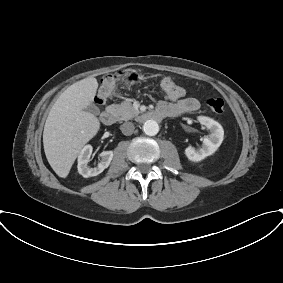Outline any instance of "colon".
<instances>
[{
  "instance_id": "obj_1",
  "label": "colon",
  "mask_w": 283,
  "mask_h": 283,
  "mask_svg": "<svg viewBox=\"0 0 283 283\" xmlns=\"http://www.w3.org/2000/svg\"><path fill=\"white\" fill-rule=\"evenodd\" d=\"M120 73H115L106 76L99 87L96 95V102L99 105L108 101L112 95L115 87V81ZM160 85L165 94L171 98H179L183 94L182 88L169 77H163L160 80ZM207 107L216 114H221L224 111V101L220 97H209L206 100Z\"/></svg>"
}]
</instances>
